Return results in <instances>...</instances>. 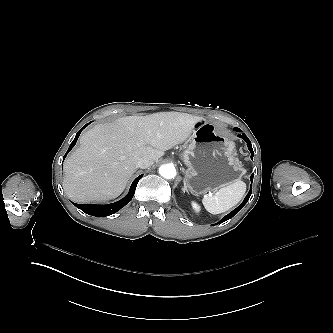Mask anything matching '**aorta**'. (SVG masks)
I'll list each match as a JSON object with an SVG mask.
<instances>
[{
	"mask_svg": "<svg viewBox=\"0 0 333 333\" xmlns=\"http://www.w3.org/2000/svg\"><path fill=\"white\" fill-rule=\"evenodd\" d=\"M159 173L166 179H172L176 176V169L171 164H165L159 168Z\"/></svg>",
	"mask_w": 333,
	"mask_h": 333,
	"instance_id": "aorta-1",
	"label": "aorta"
}]
</instances>
